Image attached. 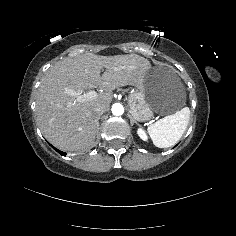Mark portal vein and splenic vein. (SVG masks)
Instances as JSON below:
<instances>
[{
    "label": "portal vein and splenic vein",
    "mask_w": 236,
    "mask_h": 236,
    "mask_svg": "<svg viewBox=\"0 0 236 236\" xmlns=\"http://www.w3.org/2000/svg\"><path fill=\"white\" fill-rule=\"evenodd\" d=\"M66 92L76 98L77 102L89 101L97 96L96 91H89L88 93L81 94L72 89H66Z\"/></svg>",
    "instance_id": "obj_1"
}]
</instances>
